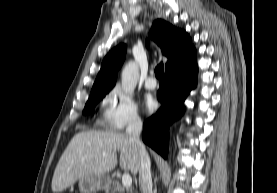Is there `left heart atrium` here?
Masks as SVG:
<instances>
[{
  "label": "left heart atrium",
  "instance_id": "obj_1",
  "mask_svg": "<svg viewBox=\"0 0 277 193\" xmlns=\"http://www.w3.org/2000/svg\"><path fill=\"white\" fill-rule=\"evenodd\" d=\"M144 105H145V108H146V110L148 112H153L156 109V107H157L156 101L150 95L145 97V99H144Z\"/></svg>",
  "mask_w": 277,
  "mask_h": 193
}]
</instances>
